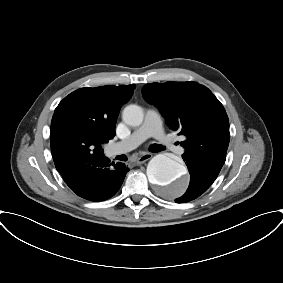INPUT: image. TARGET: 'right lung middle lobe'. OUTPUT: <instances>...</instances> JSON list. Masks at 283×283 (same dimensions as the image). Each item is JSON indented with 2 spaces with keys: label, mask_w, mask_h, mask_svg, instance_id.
Instances as JSON below:
<instances>
[{
  "label": "right lung middle lobe",
  "mask_w": 283,
  "mask_h": 283,
  "mask_svg": "<svg viewBox=\"0 0 283 283\" xmlns=\"http://www.w3.org/2000/svg\"><path fill=\"white\" fill-rule=\"evenodd\" d=\"M102 142L96 137L74 135L73 151L77 162L85 163L88 160L103 154Z\"/></svg>",
  "instance_id": "1"
}]
</instances>
